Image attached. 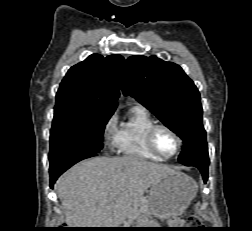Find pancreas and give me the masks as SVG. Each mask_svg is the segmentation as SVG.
<instances>
[{"instance_id": "obj_1", "label": "pancreas", "mask_w": 252, "mask_h": 231, "mask_svg": "<svg viewBox=\"0 0 252 231\" xmlns=\"http://www.w3.org/2000/svg\"><path fill=\"white\" fill-rule=\"evenodd\" d=\"M144 203H145V198L142 197L141 200H140V202H139V204L143 205ZM145 222L146 223L149 222V220H147V217L143 219L142 224H144Z\"/></svg>"}]
</instances>
